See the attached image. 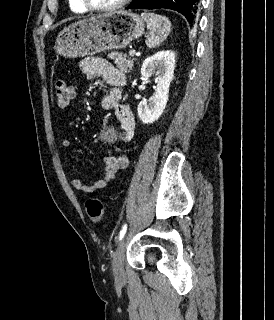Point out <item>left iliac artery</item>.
<instances>
[{
    "label": "left iliac artery",
    "instance_id": "1",
    "mask_svg": "<svg viewBox=\"0 0 274 320\" xmlns=\"http://www.w3.org/2000/svg\"><path fill=\"white\" fill-rule=\"evenodd\" d=\"M126 230H127V225L125 224L121 231H120V234H119V240H122V238L124 237L125 233H126Z\"/></svg>",
    "mask_w": 274,
    "mask_h": 320
}]
</instances>
